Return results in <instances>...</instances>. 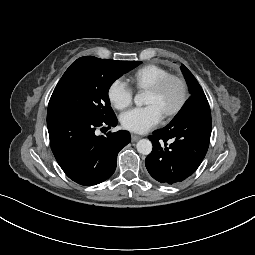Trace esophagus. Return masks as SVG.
I'll return each mask as SVG.
<instances>
[{
	"instance_id": "1",
	"label": "esophagus",
	"mask_w": 255,
	"mask_h": 255,
	"mask_svg": "<svg viewBox=\"0 0 255 255\" xmlns=\"http://www.w3.org/2000/svg\"><path fill=\"white\" fill-rule=\"evenodd\" d=\"M131 139H132V142H136V141H138L140 139V137L137 136V135L132 134L131 135Z\"/></svg>"
}]
</instances>
